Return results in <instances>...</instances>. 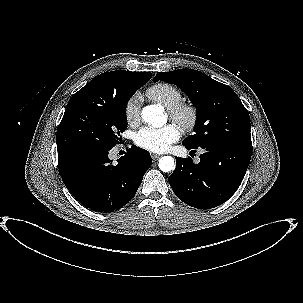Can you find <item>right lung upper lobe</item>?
<instances>
[{
  "label": "right lung upper lobe",
  "instance_id": "obj_1",
  "mask_svg": "<svg viewBox=\"0 0 303 303\" xmlns=\"http://www.w3.org/2000/svg\"><path fill=\"white\" fill-rule=\"evenodd\" d=\"M151 73L118 70L105 72L87 83L78 94H89L100 98L117 97L125 86L142 80H149Z\"/></svg>",
  "mask_w": 303,
  "mask_h": 303
}]
</instances>
